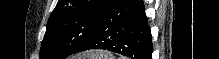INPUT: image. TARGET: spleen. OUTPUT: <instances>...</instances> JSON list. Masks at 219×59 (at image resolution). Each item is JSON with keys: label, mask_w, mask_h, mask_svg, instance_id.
Masks as SVG:
<instances>
[{"label": "spleen", "mask_w": 219, "mask_h": 59, "mask_svg": "<svg viewBox=\"0 0 219 59\" xmlns=\"http://www.w3.org/2000/svg\"><path fill=\"white\" fill-rule=\"evenodd\" d=\"M85 57L88 59H108L106 55L100 54L98 52L96 53H87L85 54Z\"/></svg>", "instance_id": "1"}]
</instances>
